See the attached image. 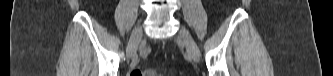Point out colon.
I'll return each instance as SVG.
<instances>
[{
	"mask_svg": "<svg viewBox=\"0 0 333 76\" xmlns=\"http://www.w3.org/2000/svg\"><path fill=\"white\" fill-rule=\"evenodd\" d=\"M130 76H154V75H162V74H157L156 72L154 71H146V72H143L141 70H132L130 73H129Z\"/></svg>",
	"mask_w": 333,
	"mask_h": 76,
	"instance_id": "1",
	"label": "colon"
}]
</instances>
